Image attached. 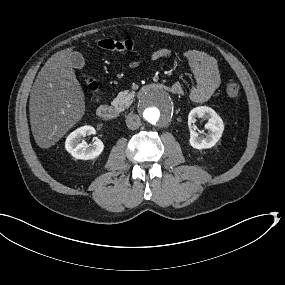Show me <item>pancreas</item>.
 <instances>
[{
  "label": "pancreas",
  "mask_w": 285,
  "mask_h": 285,
  "mask_svg": "<svg viewBox=\"0 0 285 285\" xmlns=\"http://www.w3.org/2000/svg\"><path fill=\"white\" fill-rule=\"evenodd\" d=\"M137 99V94L131 91H120L111 99V104L116 105V110L122 111L128 108Z\"/></svg>",
  "instance_id": "1"
}]
</instances>
